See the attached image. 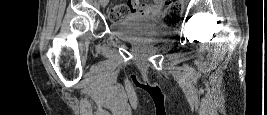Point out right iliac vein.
Wrapping results in <instances>:
<instances>
[{
	"mask_svg": "<svg viewBox=\"0 0 267 115\" xmlns=\"http://www.w3.org/2000/svg\"><path fill=\"white\" fill-rule=\"evenodd\" d=\"M105 5H106V4H105L104 2H102V6L105 7Z\"/></svg>",
	"mask_w": 267,
	"mask_h": 115,
	"instance_id": "1",
	"label": "right iliac vein"
}]
</instances>
